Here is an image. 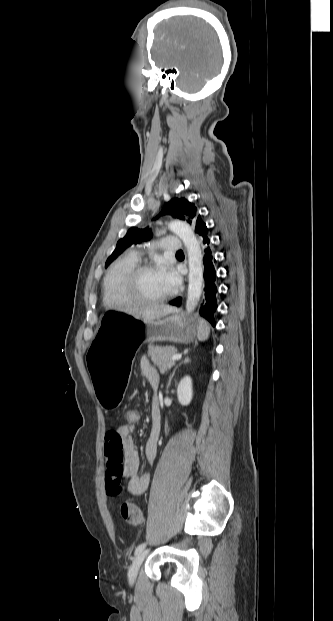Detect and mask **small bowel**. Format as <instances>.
<instances>
[{"label": "small bowel", "instance_id": "c3829d8e", "mask_svg": "<svg viewBox=\"0 0 333 621\" xmlns=\"http://www.w3.org/2000/svg\"><path fill=\"white\" fill-rule=\"evenodd\" d=\"M141 371L154 391L151 412L153 428L144 446L147 461L153 463L157 456L160 433V412L156 402L159 375L147 358L141 360ZM134 430L135 425L123 423L116 429L107 432L105 436V486L107 493L111 496H117L121 493L123 480L127 482V491L135 496L145 493L149 486L150 476L139 471L140 460L133 439Z\"/></svg>", "mask_w": 333, "mask_h": 621}]
</instances>
